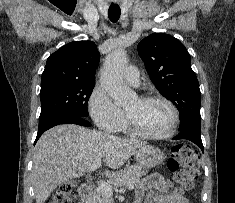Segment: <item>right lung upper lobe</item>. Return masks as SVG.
<instances>
[{"label": "right lung upper lobe", "instance_id": "obj_1", "mask_svg": "<svg viewBox=\"0 0 235 203\" xmlns=\"http://www.w3.org/2000/svg\"><path fill=\"white\" fill-rule=\"evenodd\" d=\"M99 52L92 41H75L62 46L47 59L41 86L68 81L94 82Z\"/></svg>", "mask_w": 235, "mask_h": 203}]
</instances>
